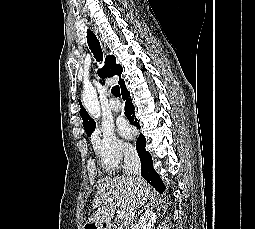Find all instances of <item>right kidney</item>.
I'll list each match as a JSON object with an SVG mask.
<instances>
[{"mask_svg": "<svg viewBox=\"0 0 255 229\" xmlns=\"http://www.w3.org/2000/svg\"><path fill=\"white\" fill-rule=\"evenodd\" d=\"M157 215L153 210H147L139 219V229H152L156 222Z\"/></svg>", "mask_w": 255, "mask_h": 229, "instance_id": "ca27d5eb", "label": "right kidney"}]
</instances>
